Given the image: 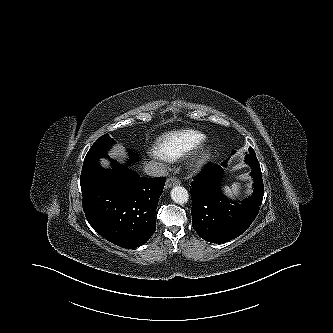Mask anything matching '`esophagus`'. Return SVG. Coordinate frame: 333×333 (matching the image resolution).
I'll return each instance as SVG.
<instances>
[{
  "mask_svg": "<svg viewBox=\"0 0 333 333\" xmlns=\"http://www.w3.org/2000/svg\"><path fill=\"white\" fill-rule=\"evenodd\" d=\"M179 184H180L179 179H177L175 177H171V178L167 179V181L165 183V189H169V188L179 185Z\"/></svg>",
  "mask_w": 333,
  "mask_h": 333,
  "instance_id": "obj_1",
  "label": "esophagus"
}]
</instances>
